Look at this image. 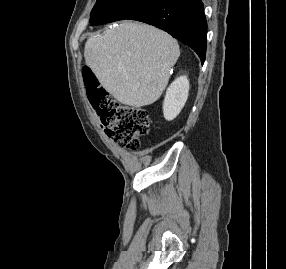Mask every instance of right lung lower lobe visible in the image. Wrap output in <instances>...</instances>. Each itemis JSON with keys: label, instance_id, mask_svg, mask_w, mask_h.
<instances>
[{"label": "right lung lower lobe", "instance_id": "obj_1", "mask_svg": "<svg viewBox=\"0 0 286 269\" xmlns=\"http://www.w3.org/2000/svg\"><path fill=\"white\" fill-rule=\"evenodd\" d=\"M128 19L168 32L191 47L204 63L207 22L201 0H155Z\"/></svg>", "mask_w": 286, "mask_h": 269}]
</instances>
